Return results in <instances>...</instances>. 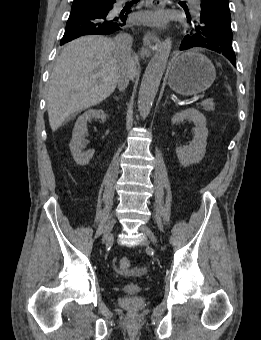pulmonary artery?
Here are the masks:
<instances>
[{
    "mask_svg": "<svg viewBox=\"0 0 261 340\" xmlns=\"http://www.w3.org/2000/svg\"><path fill=\"white\" fill-rule=\"evenodd\" d=\"M191 5L196 9L195 13L198 14L199 2L198 0H188Z\"/></svg>",
    "mask_w": 261,
    "mask_h": 340,
    "instance_id": "e3ab8cb5",
    "label": "pulmonary artery"
}]
</instances>
